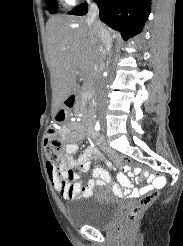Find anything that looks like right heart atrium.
Listing matches in <instances>:
<instances>
[{"label": "right heart atrium", "mask_w": 183, "mask_h": 246, "mask_svg": "<svg viewBox=\"0 0 183 246\" xmlns=\"http://www.w3.org/2000/svg\"><path fill=\"white\" fill-rule=\"evenodd\" d=\"M66 4L68 5H74L76 4L79 0H63Z\"/></svg>", "instance_id": "right-heart-atrium-1"}]
</instances>
